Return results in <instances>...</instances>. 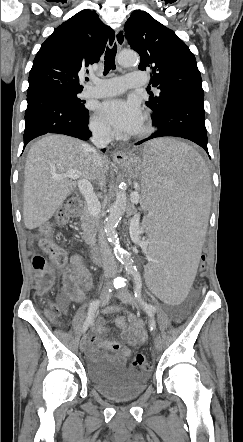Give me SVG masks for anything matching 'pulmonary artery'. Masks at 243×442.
<instances>
[{
    "label": "pulmonary artery",
    "instance_id": "1",
    "mask_svg": "<svg viewBox=\"0 0 243 442\" xmlns=\"http://www.w3.org/2000/svg\"><path fill=\"white\" fill-rule=\"evenodd\" d=\"M147 79L144 74L129 72L125 76L107 79L92 78L91 85L87 87L82 96L84 98H104L122 93L127 88L145 85Z\"/></svg>",
    "mask_w": 243,
    "mask_h": 442
}]
</instances>
